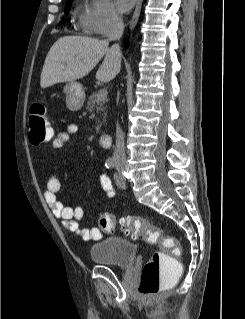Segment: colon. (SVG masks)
<instances>
[{
  "label": "colon",
  "instance_id": "5ec220e1",
  "mask_svg": "<svg viewBox=\"0 0 245 319\" xmlns=\"http://www.w3.org/2000/svg\"><path fill=\"white\" fill-rule=\"evenodd\" d=\"M46 104L43 101L34 103L30 108L29 139L33 145H41L52 136V130L46 118ZM119 223L121 230L133 237L143 236L149 243L159 244L164 250L174 254L180 253V247L176 238L163 236L160 229L151 221L125 214L119 221L109 213L99 216L100 229L114 232ZM182 271V267L173 262L170 256L164 252H155L145 263L139 285V292L143 296H154L163 287L171 283Z\"/></svg>",
  "mask_w": 245,
  "mask_h": 319
}]
</instances>
